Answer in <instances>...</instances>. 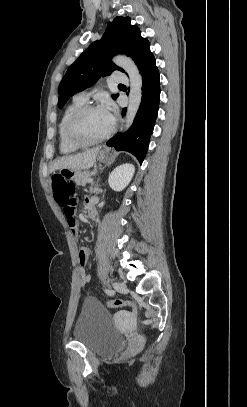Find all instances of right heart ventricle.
<instances>
[{
    "label": "right heart ventricle",
    "instance_id": "e07e8e85",
    "mask_svg": "<svg viewBox=\"0 0 247 407\" xmlns=\"http://www.w3.org/2000/svg\"><path fill=\"white\" fill-rule=\"evenodd\" d=\"M84 101L74 98V100L65 108L60 122L58 124V141H59V150L62 154H72L77 152L81 147L72 144L66 135V126L69 117L72 113L82 106Z\"/></svg>",
    "mask_w": 247,
    "mask_h": 407
}]
</instances>
